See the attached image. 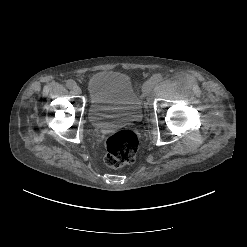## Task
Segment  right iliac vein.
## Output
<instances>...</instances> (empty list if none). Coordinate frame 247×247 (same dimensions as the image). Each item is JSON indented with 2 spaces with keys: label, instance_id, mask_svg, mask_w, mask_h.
Wrapping results in <instances>:
<instances>
[{
  "label": "right iliac vein",
  "instance_id": "63e3f726",
  "mask_svg": "<svg viewBox=\"0 0 247 247\" xmlns=\"http://www.w3.org/2000/svg\"><path fill=\"white\" fill-rule=\"evenodd\" d=\"M74 92H75L77 95H80V94L82 93L81 88H80L79 86H76V87L74 88Z\"/></svg>",
  "mask_w": 247,
  "mask_h": 247
}]
</instances>
